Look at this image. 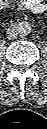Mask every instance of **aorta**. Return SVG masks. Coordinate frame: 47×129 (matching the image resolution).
Here are the masks:
<instances>
[{
  "label": "aorta",
  "instance_id": "762f6f07",
  "mask_svg": "<svg viewBox=\"0 0 47 129\" xmlns=\"http://www.w3.org/2000/svg\"><path fill=\"white\" fill-rule=\"evenodd\" d=\"M31 30H32L31 24L26 21H22L17 25V33L20 36H27L28 34L31 33Z\"/></svg>",
  "mask_w": 47,
  "mask_h": 129
}]
</instances>
